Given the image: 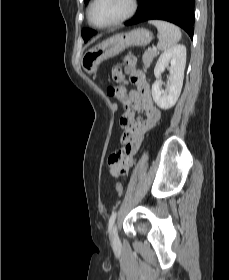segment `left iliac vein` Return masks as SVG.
Segmentation results:
<instances>
[{
	"mask_svg": "<svg viewBox=\"0 0 229 280\" xmlns=\"http://www.w3.org/2000/svg\"><path fill=\"white\" fill-rule=\"evenodd\" d=\"M118 242L117 228L114 225L112 228V243L116 244Z\"/></svg>",
	"mask_w": 229,
	"mask_h": 280,
	"instance_id": "left-iliac-vein-1",
	"label": "left iliac vein"
}]
</instances>
